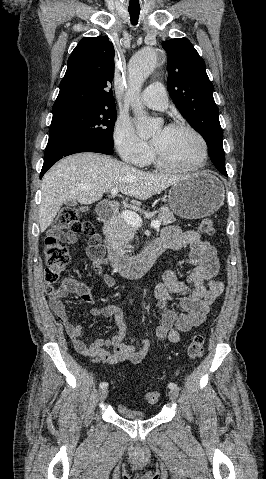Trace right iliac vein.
<instances>
[{"mask_svg":"<svg viewBox=\"0 0 266 479\" xmlns=\"http://www.w3.org/2000/svg\"><path fill=\"white\" fill-rule=\"evenodd\" d=\"M108 395V389L107 388H102L99 391V399L104 400Z\"/></svg>","mask_w":266,"mask_h":479,"instance_id":"63e3f726","label":"right iliac vein"}]
</instances>
